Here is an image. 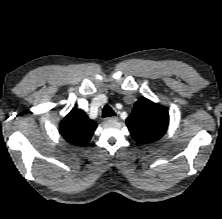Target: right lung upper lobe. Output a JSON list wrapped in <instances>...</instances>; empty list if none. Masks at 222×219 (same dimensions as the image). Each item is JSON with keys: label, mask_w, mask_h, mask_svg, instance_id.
<instances>
[{"label": "right lung upper lobe", "mask_w": 222, "mask_h": 219, "mask_svg": "<svg viewBox=\"0 0 222 219\" xmlns=\"http://www.w3.org/2000/svg\"><path fill=\"white\" fill-rule=\"evenodd\" d=\"M96 127V122L77 108H73L59 125L64 139L78 146H84L90 141Z\"/></svg>", "instance_id": "right-lung-upper-lobe-1"}]
</instances>
